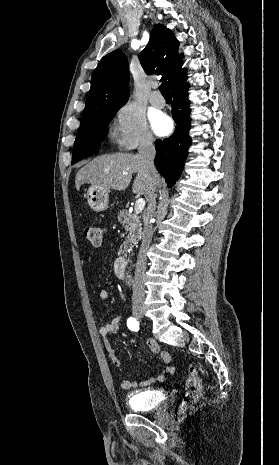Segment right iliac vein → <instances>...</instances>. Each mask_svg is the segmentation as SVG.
I'll return each instance as SVG.
<instances>
[{"label": "right iliac vein", "instance_id": "right-iliac-vein-1", "mask_svg": "<svg viewBox=\"0 0 279 465\" xmlns=\"http://www.w3.org/2000/svg\"><path fill=\"white\" fill-rule=\"evenodd\" d=\"M133 314L137 319H142L143 315H144V312H143L142 308H135L133 310Z\"/></svg>", "mask_w": 279, "mask_h": 465}]
</instances>
